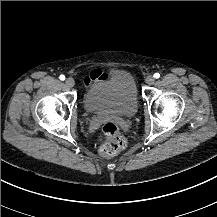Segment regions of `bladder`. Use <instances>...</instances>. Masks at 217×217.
Returning <instances> with one entry per match:
<instances>
[{
  "label": "bladder",
  "instance_id": "obj_1",
  "mask_svg": "<svg viewBox=\"0 0 217 217\" xmlns=\"http://www.w3.org/2000/svg\"><path fill=\"white\" fill-rule=\"evenodd\" d=\"M84 103L90 114L114 117L133 115L138 106L135 81L127 73L115 72L110 79L97 83L92 90H85Z\"/></svg>",
  "mask_w": 217,
  "mask_h": 217
}]
</instances>
